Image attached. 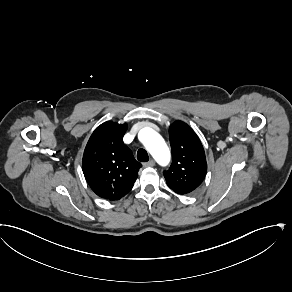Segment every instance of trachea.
Returning <instances> with one entry per match:
<instances>
[{
  "label": "trachea",
  "mask_w": 292,
  "mask_h": 292,
  "mask_svg": "<svg viewBox=\"0 0 292 292\" xmlns=\"http://www.w3.org/2000/svg\"><path fill=\"white\" fill-rule=\"evenodd\" d=\"M137 159L140 161V162H147L149 160V156H148V153L146 150L140 148L138 151H137Z\"/></svg>",
  "instance_id": "1"
}]
</instances>
